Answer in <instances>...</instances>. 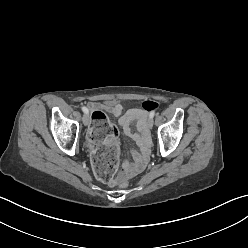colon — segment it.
<instances>
[{"label": "colon", "instance_id": "obj_1", "mask_svg": "<svg viewBox=\"0 0 248 248\" xmlns=\"http://www.w3.org/2000/svg\"><path fill=\"white\" fill-rule=\"evenodd\" d=\"M159 106L160 104L153 100H145L141 104V108L145 112L156 110ZM91 118L89 146L96 152L91 156L90 163L96 178L100 181H108L110 183L118 182L121 188H128L129 183L125 176H121L119 179L115 177L118 168L117 159L121 155L120 146L116 143L110 146L104 145L108 135L116 136V126L100 110H94L91 113Z\"/></svg>", "mask_w": 248, "mask_h": 248}]
</instances>
